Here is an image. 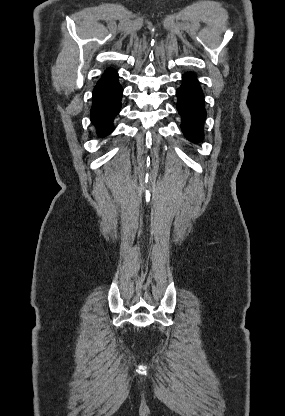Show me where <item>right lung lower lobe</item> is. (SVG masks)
<instances>
[{"label":"right lung lower lobe","instance_id":"98d812e1","mask_svg":"<svg viewBox=\"0 0 285 416\" xmlns=\"http://www.w3.org/2000/svg\"><path fill=\"white\" fill-rule=\"evenodd\" d=\"M122 92L117 75L98 82L95 86L90 118L99 136H106L113 130V119L121 108Z\"/></svg>","mask_w":285,"mask_h":416}]
</instances>
